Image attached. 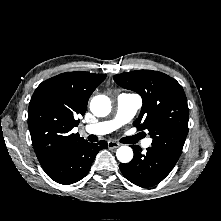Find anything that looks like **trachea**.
<instances>
[{"label":"trachea","instance_id":"1","mask_svg":"<svg viewBox=\"0 0 221 221\" xmlns=\"http://www.w3.org/2000/svg\"><path fill=\"white\" fill-rule=\"evenodd\" d=\"M143 138V134L142 133H139L135 136H132V137H128L127 138V142L128 143H136L139 139ZM89 141H93V142H96L98 140V138L95 136V135H90L88 137Z\"/></svg>","mask_w":221,"mask_h":221}]
</instances>
